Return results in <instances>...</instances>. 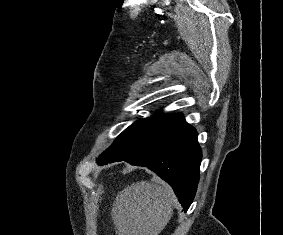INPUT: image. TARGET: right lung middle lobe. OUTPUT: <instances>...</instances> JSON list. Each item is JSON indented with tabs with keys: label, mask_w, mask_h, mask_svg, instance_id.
<instances>
[{
	"label": "right lung middle lobe",
	"mask_w": 283,
	"mask_h": 235,
	"mask_svg": "<svg viewBox=\"0 0 283 235\" xmlns=\"http://www.w3.org/2000/svg\"><path fill=\"white\" fill-rule=\"evenodd\" d=\"M182 114L155 116L135 122L124 130L114 143L100 155L102 163L122 161L145 151L150 146L167 136L181 121Z\"/></svg>",
	"instance_id": "1"
}]
</instances>
